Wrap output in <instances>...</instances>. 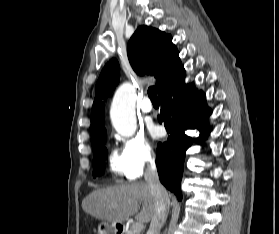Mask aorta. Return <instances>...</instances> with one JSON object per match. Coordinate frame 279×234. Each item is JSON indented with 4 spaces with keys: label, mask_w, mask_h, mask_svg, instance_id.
<instances>
[{
    "label": "aorta",
    "mask_w": 279,
    "mask_h": 234,
    "mask_svg": "<svg viewBox=\"0 0 279 234\" xmlns=\"http://www.w3.org/2000/svg\"><path fill=\"white\" fill-rule=\"evenodd\" d=\"M136 93L130 83H123L115 92L110 117L115 130L122 136H132L137 128L135 115Z\"/></svg>",
    "instance_id": "aorta-1"
}]
</instances>
